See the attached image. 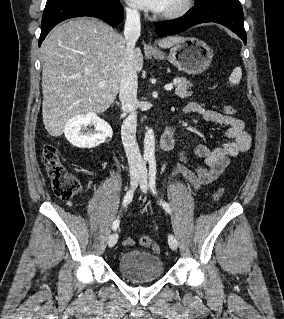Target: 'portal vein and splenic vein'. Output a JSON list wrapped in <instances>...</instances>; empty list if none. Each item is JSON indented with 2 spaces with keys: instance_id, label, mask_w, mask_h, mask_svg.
Listing matches in <instances>:
<instances>
[{
  "instance_id": "18ae733b",
  "label": "portal vein and splenic vein",
  "mask_w": 284,
  "mask_h": 319,
  "mask_svg": "<svg viewBox=\"0 0 284 319\" xmlns=\"http://www.w3.org/2000/svg\"><path fill=\"white\" fill-rule=\"evenodd\" d=\"M99 86H100V87H104V86H105V83H104V82H100V83H99ZM164 89H165L166 91H171V90L173 89V84H167V85H165Z\"/></svg>"
}]
</instances>
